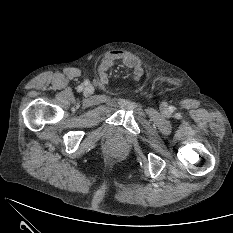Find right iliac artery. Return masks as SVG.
I'll return each mask as SVG.
<instances>
[{"label": "right iliac artery", "instance_id": "1", "mask_svg": "<svg viewBox=\"0 0 233 233\" xmlns=\"http://www.w3.org/2000/svg\"><path fill=\"white\" fill-rule=\"evenodd\" d=\"M79 89L82 90V89H83V86H80Z\"/></svg>", "mask_w": 233, "mask_h": 233}]
</instances>
